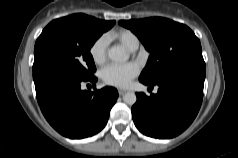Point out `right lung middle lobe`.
Listing matches in <instances>:
<instances>
[{
    "label": "right lung middle lobe",
    "instance_id": "1",
    "mask_svg": "<svg viewBox=\"0 0 238 158\" xmlns=\"http://www.w3.org/2000/svg\"><path fill=\"white\" fill-rule=\"evenodd\" d=\"M111 27L101 20L81 14L53 20L36 41L33 66L52 63L91 79L96 67L90 49Z\"/></svg>",
    "mask_w": 238,
    "mask_h": 158
}]
</instances>
